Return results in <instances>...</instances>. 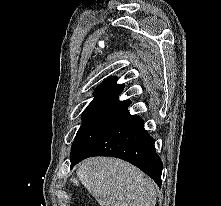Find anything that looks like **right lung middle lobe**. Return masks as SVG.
I'll use <instances>...</instances> for the list:
<instances>
[{
    "label": "right lung middle lobe",
    "mask_w": 221,
    "mask_h": 206,
    "mask_svg": "<svg viewBox=\"0 0 221 206\" xmlns=\"http://www.w3.org/2000/svg\"><path fill=\"white\" fill-rule=\"evenodd\" d=\"M121 107H90L83 112V123L71 148V161L77 159L85 149L125 112Z\"/></svg>",
    "instance_id": "1"
}]
</instances>
